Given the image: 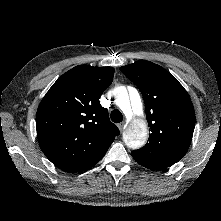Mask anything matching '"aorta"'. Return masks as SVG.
Masks as SVG:
<instances>
[{"label": "aorta", "mask_w": 221, "mask_h": 221, "mask_svg": "<svg viewBox=\"0 0 221 221\" xmlns=\"http://www.w3.org/2000/svg\"><path fill=\"white\" fill-rule=\"evenodd\" d=\"M115 93L116 104L126 115H129L132 111L137 115L143 113V104L135 88L128 91L126 87L120 86L116 88ZM147 136V123L144 120H135L124 132L123 139L128 147L137 149L146 143Z\"/></svg>", "instance_id": "1"}]
</instances>
